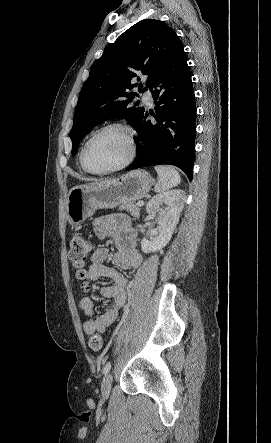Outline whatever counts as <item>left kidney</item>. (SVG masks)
<instances>
[{
	"label": "left kidney",
	"mask_w": 271,
	"mask_h": 443,
	"mask_svg": "<svg viewBox=\"0 0 271 443\" xmlns=\"http://www.w3.org/2000/svg\"><path fill=\"white\" fill-rule=\"evenodd\" d=\"M185 194L183 190H171V192H163L152 198L147 204V214L150 216H158L159 218V235L141 239V249L144 253L150 251H159L165 247L170 241L171 235L175 229L176 223L179 222L180 212L184 208ZM166 204L167 208L163 206Z\"/></svg>",
	"instance_id": "left-kidney-1"
}]
</instances>
